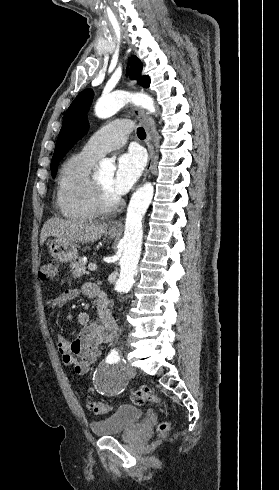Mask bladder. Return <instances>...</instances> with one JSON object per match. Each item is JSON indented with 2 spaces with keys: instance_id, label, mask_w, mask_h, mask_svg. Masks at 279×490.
<instances>
[{
  "instance_id": "1",
  "label": "bladder",
  "mask_w": 279,
  "mask_h": 490,
  "mask_svg": "<svg viewBox=\"0 0 279 490\" xmlns=\"http://www.w3.org/2000/svg\"><path fill=\"white\" fill-rule=\"evenodd\" d=\"M145 411L134 405H119L118 410L100 421H93L90 430L96 437L116 436L140 424Z\"/></svg>"
}]
</instances>
